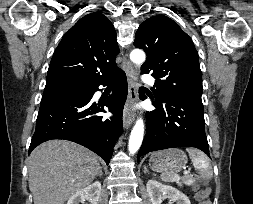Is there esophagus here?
Here are the masks:
<instances>
[{
    "mask_svg": "<svg viewBox=\"0 0 253 204\" xmlns=\"http://www.w3.org/2000/svg\"><path fill=\"white\" fill-rule=\"evenodd\" d=\"M122 66L126 73L128 82V97L123 113V125L125 129H128L135 120V115L132 111L133 104L136 101L135 73L127 55H125L123 58Z\"/></svg>",
    "mask_w": 253,
    "mask_h": 204,
    "instance_id": "esophagus-1",
    "label": "esophagus"
}]
</instances>
